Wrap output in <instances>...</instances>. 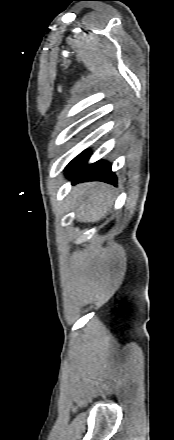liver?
Returning a JSON list of instances; mask_svg holds the SVG:
<instances>
[{
	"instance_id": "obj_1",
	"label": "liver",
	"mask_w": 174,
	"mask_h": 440,
	"mask_svg": "<svg viewBox=\"0 0 174 440\" xmlns=\"http://www.w3.org/2000/svg\"><path fill=\"white\" fill-rule=\"evenodd\" d=\"M72 208L79 222L93 223L101 220L112 208L114 189L105 183L79 184L71 191Z\"/></svg>"
}]
</instances>
